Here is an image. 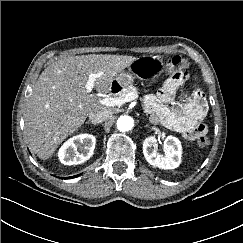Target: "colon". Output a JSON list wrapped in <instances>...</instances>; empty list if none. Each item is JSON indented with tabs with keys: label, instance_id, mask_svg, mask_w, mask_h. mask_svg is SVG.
<instances>
[{
	"label": "colon",
	"instance_id": "5ec220e1",
	"mask_svg": "<svg viewBox=\"0 0 243 243\" xmlns=\"http://www.w3.org/2000/svg\"><path fill=\"white\" fill-rule=\"evenodd\" d=\"M190 68V62L179 56H173L167 62V70L171 76L175 77H185L188 69ZM197 144L199 146H206L209 144V139L205 135H201L197 138Z\"/></svg>",
	"mask_w": 243,
	"mask_h": 243
}]
</instances>
